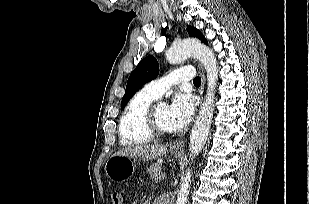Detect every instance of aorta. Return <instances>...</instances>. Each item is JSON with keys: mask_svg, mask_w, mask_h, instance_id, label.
<instances>
[{"mask_svg": "<svg viewBox=\"0 0 309 204\" xmlns=\"http://www.w3.org/2000/svg\"><path fill=\"white\" fill-rule=\"evenodd\" d=\"M188 57L198 59L207 73V93L199 114L195 120L189 143L190 156H197L205 145L213 118L215 87L218 80L216 57L211 49L195 40H183L174 43L166 52V58L171 64H178ZM191 184V173L187 171L180 190L177 193L176 204H186Z\"/></svg>", "mask_w": 309, "mask_h": 204, "instance_id": "aorta-1", "label": "aorta"}]
</instances>
